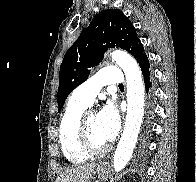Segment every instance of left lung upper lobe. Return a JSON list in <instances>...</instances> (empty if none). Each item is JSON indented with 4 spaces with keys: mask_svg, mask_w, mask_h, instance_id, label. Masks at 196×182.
Returning a JSON list of instances; mask_svg holds the SVG:
<instances>
[{
    "mask_svg": "<svg viewBox=\"0 0 196 182\" xmlns=\"http://www.w3.org/2000/svg\"><path fill=\"white\" fill-rule=\"evenodd\" d=\"M115 46L131 53L137 62L146 55L136 29L122 11L104 10L93 18L64 56L59 73L58 112L68 95L87 80L90 68L100 63L108 48Z\"/></svg>",
    "mask_w": 196,
    "mask_h": 182,
    "instance_id": "5c2ea615",
    "label": "left lung upper lobe"
}]
</instances>
